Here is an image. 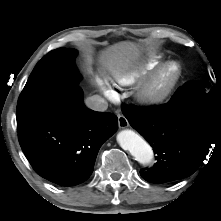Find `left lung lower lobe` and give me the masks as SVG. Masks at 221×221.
Wrapping results in <instances>:
<instances>
[{"label":"left lung lower lobe","mask_w":221,"mask_h":221,"mask_svg":"<svg viewBox=\"0 0 221 221\" xmlns=\"http://www.w3.org/2000/svg\"><path fill=\"white\" fill-rule=\"evenodd\" d=\"M196 82L181 88L191 90ZM122 111L157 154L154 167L140 171L148 182L165 183L190 176L203 163L211 145L221 140V114L214 109H176L169 102L142 109L123 106Z\"/></svg>","instance_id":"1"}]
</instances>
